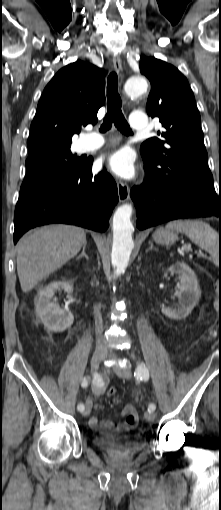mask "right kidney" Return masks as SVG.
Masks as SVG:
<instances>
[{"mask_svg": "<svg viewBox=\"0 0 221 510\" xmlns=\"http://www.w3.org/2000/svg\"><path fill=\"white\" fill-rule=\"evenodd\" d=\"M61 289L68 293L69 299L72 298V285L67 281H55L41 289L34 300L37 317L45 328L54 332L66 330L74 321V317L68 309H61L59 305L51 302L55 292Z\"/></svg>", "mask_w": 221, "mask_h": 510, "instance_id": "right-kidney-1", "label": "right kidney"}]
</instances>
